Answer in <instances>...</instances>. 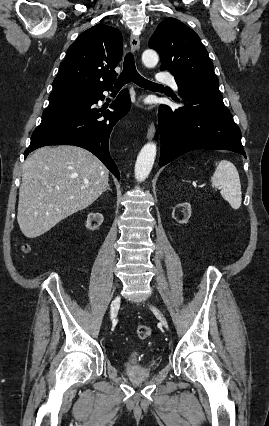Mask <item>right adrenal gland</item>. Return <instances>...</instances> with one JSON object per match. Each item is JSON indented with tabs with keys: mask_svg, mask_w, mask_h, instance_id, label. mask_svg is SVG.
<instances>
[{
	"mask_svg": "<svg viewBox=\"0 0 269 426\" xmlns=\"http://www.w3.org/2000/svg\"><path fill=\"white\" fill-rule=\"evenodd\" d=\"M106 190L112 191V189L110 188V184H108V185H107ZM106 190H105V191H106Z\"/></svg>",
	"mask_w": 269,
	"mask_h": 426,
	"instance_id": "right-adrenal-gland-1",
	"label": "right adrenal gland"
}]
</instances>
